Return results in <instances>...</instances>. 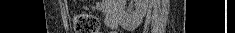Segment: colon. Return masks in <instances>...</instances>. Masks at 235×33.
I'll return each mask as SVG.
<instances>
[{
  "mask_svg": "<svg viewBox=\"0 0 235 33\" xmlns=\"http://www.w3.org/2000/svg\"><path fill=\"white\" fill-rule=\"evenodd\" d=\"M72 27L75 33H98V19L85 12H76L71 19Z\"/></svg>",
  "mask_w": 235,
  "mask_h": 33,
  "instance_id": "1",
  "label": "colon"
}]
</instances>
